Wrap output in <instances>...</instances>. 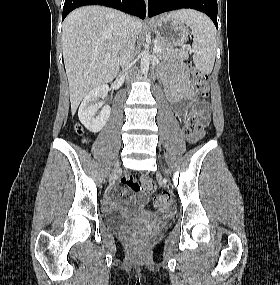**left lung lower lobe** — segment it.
Wrapping results in <instances>:
<instances>
[{
	"mask_svg": "<svg viewBox=\"0 0 280 285\" xmlns=\"http://www.w3.org/2000/svg\"><path fill=\"white\" fill-rule=\"evenodd\" d=\"M182 8H191L207 14L217 24V0H148V16L173 11Z\"/></svg>",
	"mask_w": 280,
	"mask_h": 285,
	"instance_id": "obj_1",
	"label": "left lung lower lobe"
}]
</instances>
